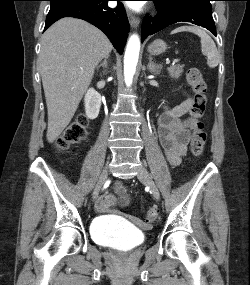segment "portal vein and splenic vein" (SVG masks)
<instances>
[{"label": "portal vein and splenic vein", "instance_id": "18ae733b", "mask_svg": "<svg viewBox=\"0 0 250 285\" xmlns=\"http://www.w3.org/2000/svg\"><path fill=\"white\" fill-rule=\"evenodd\" d=\"M175 62H177V60L173 61V64H174ZM168 63H169V62H167V64H168Z\"/></svg>", "mask_w": 250, "mask_h": 285}]
</instances>
